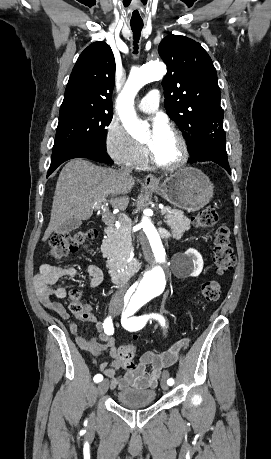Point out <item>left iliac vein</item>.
I'll return each mask as SVG.
<instances>
[{
  "label": "left iliac vein",
  "instance_id": "left-iliac-vein-1",
  "mask_svg": "<svg viewBox=\"0 0 271 459\" xmlns=\"http://www.w3.org/2000/svg\"><path fill=\"white\" fill-rule=\"evenodd\" d=\"M168 377V373H164L161 377V387L163 390H167L168 389V384L166 382V378Z\"/></svg>",
  "mask_w": 271,
  "mask_h": 459
}]
</instances>
